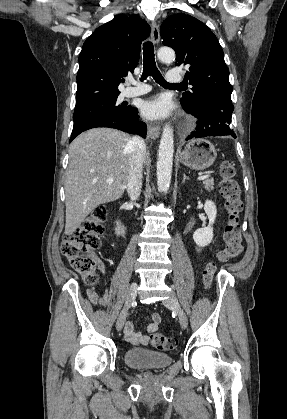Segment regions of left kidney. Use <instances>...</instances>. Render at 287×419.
I'll return each mask as SVG.
<instances>
[{
    "label": "left kidney",
    "instance_id": "obj_1",
    "mask_svg": "<svg viewBox=\"0 0 287 419\" xmlns=\"http://www.w3.org/2000/svg\"><path fill=\"white\" fill-rule=\"evenodd\" d=\"M204 210L209 219V225L207 227H203L197 229L193 233L194 242L201 247H205L209 245L213 239V227L214 221L217 215V209L214 202L207 200L204 205Z\"/></svg>",
    "mask_w": 287,
    "mask_h": 419
}]
</instances>
